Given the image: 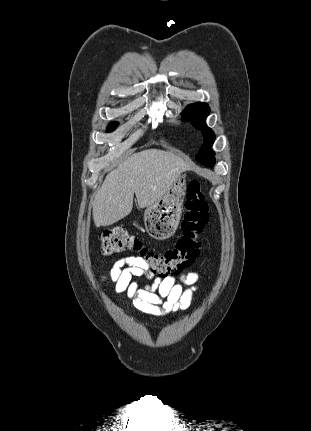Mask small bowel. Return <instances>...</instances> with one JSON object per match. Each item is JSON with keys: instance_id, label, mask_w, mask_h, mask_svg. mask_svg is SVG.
<instances>
[{"instance_id": "1", "label": "small bowel", "mask_w": 311, "mask_h": 431, "mask_svg": "<svg viewBox=\"0 0 311 431\" xmlns=\"http://www.w3.org/2000/svg\"><path fill=\"white\" fill-rule=\"evenodd\" d=\"M146 276L154 278L149 272L148 263L140 256L129 255L115 262L104 282L115 284V292L125 293L133 306L146 314L163 316L187 309L194 292L198 289L199 274L190 272L181 277V283L172 277L154 279V284L140 287L133 278ZM186 286V287H185Z\"/></svg>"}]
</instances>
